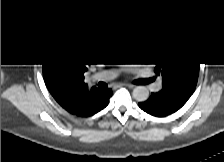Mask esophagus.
Returning <instances> with one entry per match:
<instances>
[{
  "mask_svg": "<svg viewBox=\"0 0 224 162\" xmlns=\"http://www.w3.org/2000/svg\"><path fill=\"white\" fill-rule=\"evenodd\" d=\"M126 86L129 87V88H133V86L132 85H129V84H127Z\"/></svg>",
  "mask_w": 224,
  "mask_h": 162,
  "instance_id": "34e87169",
  "label": "esophagus"
}]
</instances>
